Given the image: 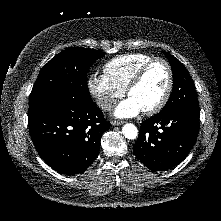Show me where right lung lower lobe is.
Segmentation results:
<instances>
[{
  "mask_svg": "<svg viewBox=\"0 0 221 221\" xmlns=\"http://www.w3.org/2000/svg\"><path fill=\"white\" fill-rule=\"evenodd\" d=\"M40 157L65 175L83 173L98 157L102 134L110 127L90 97L60 95L28 116Z\"/></svg>",
  "mask_w": 221,
  "mask_h": 221,
  "instance_id": "98d812e1",
  "label": "right lung lower lobe"
}]
</instances>
